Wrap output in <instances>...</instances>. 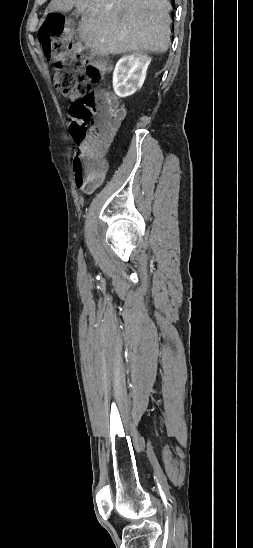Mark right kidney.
<instances>
[{
	"label": "right kidney",
	"instance_id": "obj_1",
	"mask_svg": "<svg viewBox=\"0 0 253 548\" xmlns=\"http://www.w3.org/2000/svg\"><path fill=\"white\" fill-rule=\"evenodd\" d=\"M151 57L143 52L124 55L113 72V88L117 96L125 98L139 90L146 78Z\"/></svg>",
	"mask_w": 253,
	"mask_h": 548
}]
</instances>
